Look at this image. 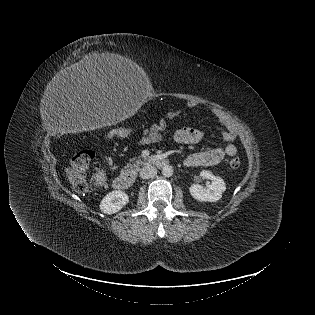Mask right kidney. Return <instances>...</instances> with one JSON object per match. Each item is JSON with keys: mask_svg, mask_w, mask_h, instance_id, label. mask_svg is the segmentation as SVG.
<instances>
[{"mask_svg": "<svg viewBox=\"0 0 315 315\" xmlns=\"http://www.w3.org/2000/svg\"><path fill=\"white\" fill-rule=\"evenodd\" d=\"M128 202L129 197L124 191L115 190L102 199L99 207L104 214H114L120 211Z\"/></svg>", "mask_w": 315, "mask_h": 315, "instance_id": "ca27d5eb", "label": "right kidney"}]
</instances>
